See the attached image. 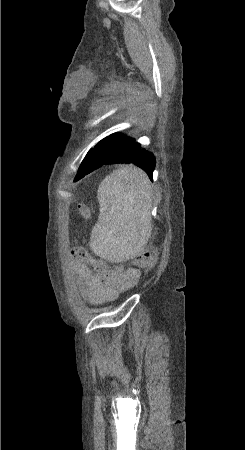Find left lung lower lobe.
Wrapping results in <instances>:
<instances>
[{"label": "left lung lower lobe", "mask_w": 245, "mask_h": 450, "mask_svg": "<svg viewBox=\"0 0 245 450\" xmlns=\"http://www.w3.org/2000/svg\"><path fill=\"white\" fill-rule=\"evenodd\" d=\"M95 150V153L99 154V157H101L98 164L94 165L92 168L87 169L86 171L77 174V176L75 177V181L81 179L86 174L90 173L103 164L113 163H133L141 167L152 180V174L155 168V157L151 152L141 148V145L138 142H135L134 139H132L127 144L116 148H102L96 146L94 149L89 151V153Z\"/></svg>", "instance_id": "1"}]
</instances>
